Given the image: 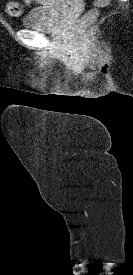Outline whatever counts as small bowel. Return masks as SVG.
<instances>
[{
	"instance_id": "c3829d8e",
	"label": "small bowel",
	"mask_w": 133,
	"mask_h": 275,
	"mask_svg": "<svg viewBox=\"0 0 133 275\" xmlns=\"http://www.w3.org/2000/svg\"><path fill=\"white\" fill-rule=\"evenodd\" d=\"M24 2H25L26 4H29V3L31 2V0H24Z\"/></svg>"
}]
</instances>
